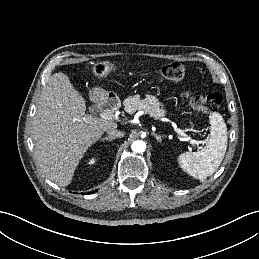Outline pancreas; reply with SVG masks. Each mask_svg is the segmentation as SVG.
I'll return each mask as SVG.
<instances>
[{
    "instance_id": "cf45deb5",
    "label": "pancreas",
    "mask_w": 259,
    "mask_h": 259,
    "mask_svg": "<svg viewBox=\"0 0 259 259\" xmlns=\"http://www.w3.org/2000/svg\"><path fill=\"white\" fill-rule=\"evenodd\" d=\"M126 112L133 114L137 110H142L146 114L154 118L165 116V110L161 108V103L152 95H147L145 99H141L139 95L128 97L123 102Z\"/></svg>"
}]
</instances>
